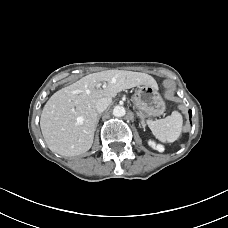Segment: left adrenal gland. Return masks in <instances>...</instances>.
Masks as SVG:
<instances>
[{"label": "left adrenal gland", "mask_w": 228, "mask_h": 228, "mask_svg": "<svg viewBox=\"0 0 228 228\" xmlns=\"http://www.w3.org/2000/svg\"><path fill=\"white\" fill-rule=\"evenodd\" d=\"M139 117H140V119H141V125H142V127L145 128L146 123H145L144 117L141 116V115H139Z\"/></svg>", "instance_id": "left-adrenal-gland-1"}]
</instances>
